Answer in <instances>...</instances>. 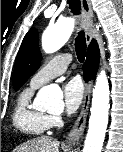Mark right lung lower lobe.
<instances>
[{
	"instance_id": "right-lung-lower-lobe-1",
	"label": "right lung lower lobe",
	"mask_w": 123,
	"mask_h": 152,
	"mask_svg": "<svg viewBox=\"0 0 123 152\" xmlns=\"http://www.w3.org/2000/svg\"><path fill=\"white\" fill-rule=\"evenodd\" d=\"M99 61V50L97 43L92 41L88 48L87 60L83 65L84 78L88 81L97 69Z\"/></svg>"
}]
</instances>
